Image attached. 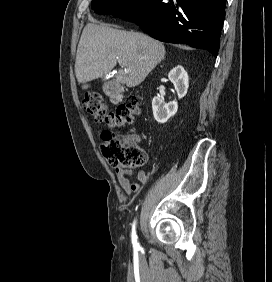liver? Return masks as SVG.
Wrapping results in <instances>:
<instances>
[{
    "label": "liver",
    "mask_w": 272,
    "mask_h": 282,
    "mask_svg": "<svg viewBox=\"0 0 272 282\" xmlns=\"http://www.w3.org/2000/svg\"><path fill=\"white\" fill-rule=\"evenodd\" d=\"M164 56V45L143 33L88 23L78 44L75 74L84 84L108 74L118 62L124 69H119L116 81L134 87Z\"/></svg>",
    "instance_id": "liver-1"
}]
</instances>
